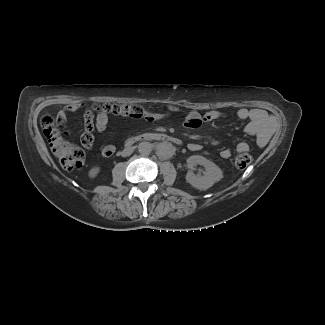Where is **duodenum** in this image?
Segmentation results:
<instances>
[{
  "instance_id": "410a0bca",
  "label": "duodenum",
  "mask_w": 325,
  "mask_h": 325,
  "mask_svg": "<svg viewBox=\"0 0 325 325\" xmlns=\"http://www.w3.org/2000/svg\"><path fill=\"white\" fill-rule=\"evenodd\" d=\"M144 141L170 143L173 145H181L182 143L180 139L163 132H148V133H143L129 138L126 142V145L131 146L136 143L144 142Z\"/></svg>"
}]
</instances>
